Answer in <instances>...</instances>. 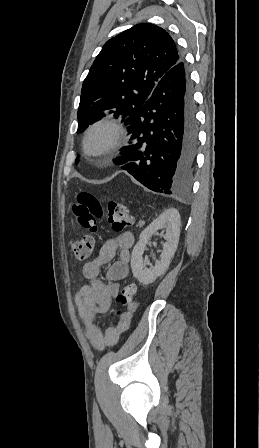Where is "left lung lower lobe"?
<instances>
[{
  "label": "left lung lower lobe",
  "instance_id": "obj_1",
  "mask_svg": "<svg viewBox=\"0 0 259 448\" xmlns=\"http://www.w3.org/2000/svg\"><path fill=\"white\" fill-rule=\"evenodd\" d=\"M130 145L114 162L155 192L190 185L197 147L192 85L183 58L159 80L147 102L126 119Z\"/></svg>",
  "mask_w": 259,
  "mask_h": 448
}]
</instances>
